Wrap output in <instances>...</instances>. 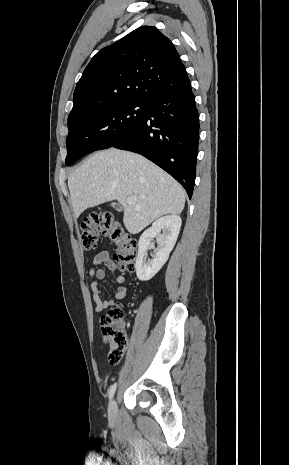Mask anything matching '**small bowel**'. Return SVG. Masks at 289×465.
I'll return each instance as SVG.
<instances>
[{
    "label": "small bowel",
    "instance_id": "small-bowel-1",
    "mask_svg": "<svg viewBox=\"0 0 289 465\" xmlns=\"http://www.w3.org/2000/svg\"><path fill=\"white\" fill-rule=\"evenodd\" d=\"M104 267L107 268L112 274H116L119 270L118 262L113 259L107 251H102L94 257L89 273L90 277L92 278L91 293L96 304L95 310L97 313H100L104 309L113 306L116 301L124 299L127 295V288L124 285H120L115 291V299L108 300L104 298L103 292L101 290L102 282L106 278V270ZM115 278L116 281L120 284L125 282V277L122 275H116Z\"/></svg>",
    "mask_w": 289,
    "mask_h": 465
}]
</instances>
